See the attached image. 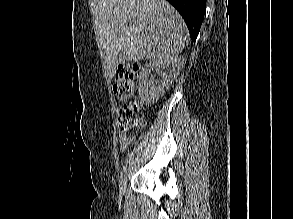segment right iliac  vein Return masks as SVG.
<instances>
[{"label":"right iliac vein","instance_id":"right-iliac-vein-1","mask_svg":"<svg viewBox=\"0 0 293 219\" xmlns=\"http://www.w3.org/2000/svg\"><path fill=\"white\" fill-rule=\"evenodd\" d=\"M128 176H129V169L126 168L124 172L121 174L120 179H119V189L121 192L125 191L126 184L128 181Z\"/></svg>","mask_w":293,"mask_h":219}]
</instances>
